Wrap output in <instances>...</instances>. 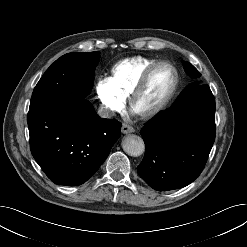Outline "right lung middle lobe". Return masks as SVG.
Returning <instances> with one entry per match:
<instances>
[{
  "instance_id": "dd1d6c3e",
  "label": "right lung middle lobe",
  "mask_w": 247,
  "mask_h": 247,
  "mask_svg": "<svg viewBox=\"0 0 247 247\" xmlns=\"http://www.w3.org/2000/svg\"><path fill=\"white\" fill-rule=\"evenodd\" d=\"M99 58L100 52L95 51L68 53L57 59L37 83L30 107L51 98L68 101L84 99L92 89Z\"/></svg>"
}]
</instances>
